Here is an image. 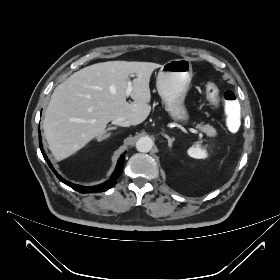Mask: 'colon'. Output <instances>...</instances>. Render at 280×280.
<instances>
[{
    "mask_svg": "<svg viewBox=\"0 0 280 280\" xmlns=\"http://www.w3.org/2000/svg\"><path fill=\"white\" fill-rule=\"evenodd\" d=\"M205 96L208 102L212 105H216L219 101V89L214 83H207L205 85ZM223 100L226 110L228 112V120L226 127L232 132H237L241 128L242 117L241 108L238 104L236 93L232 90H226L223 93Z\"/></svg>",
    "mask_w": 280,
    "mask_h": 280,
    "instance_id": "5ec220e1",
    "label": "colon"
}]
</instances>
